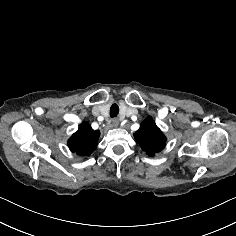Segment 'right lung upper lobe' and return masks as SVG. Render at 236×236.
I'll return each mask as SVG.
<instances>
[{
    "instance_id": "right-lung-upper-lobe-1",
    "label": "right lung upper lobe",
    "mask_w": 236,
    "mask_h": 236,
    "mask_svg": "<svg viewBox=\"0 0 236 236\" xmlns=\"http://www.w3.org/2000/svg\"><path fill=\"white\" fill-rule=\"evenodd\" d=\"M99 136V131H94L87 122H83L69 139L68 146L79 156H89L96 149Z\"/></svg>"
}]
</instances>
